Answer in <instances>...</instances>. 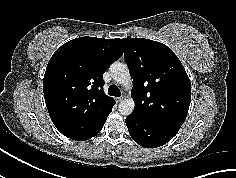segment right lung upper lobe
<instances>
[{
  "label": "right lung upper lobe",
  "mask_w": 236,
  "mask_h": 178,
  "mask_svg": "<svg viewBox=\"0 0 236 178\" xmlns=\"http://www.w3.org/2000/svg\"><path fill=\"white\" fill-rule=\"evenodd\" d=\"M124 52L121 39L80 37L52 55L43 79L45 103L56 128L73 140L97 135L115 104L103 91V73Z\"/></svg>",
  "instance_id": "1"
}]
</instances>
